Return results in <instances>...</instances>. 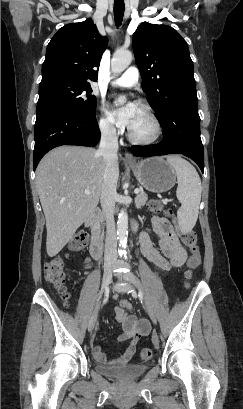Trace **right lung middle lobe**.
<instances>
[{
    "mask_svg": "<svg viewBox=\"0 0 243 409\" xmlns=\"http://www.w3.org/2000/svg\"><path fill=\"white\" fill-rule=\"evenodd\" d=\"M88 84L63 77L42 79L39 85L37 114L64 110L83 115L95 113L96 98Z\"/></svg>",
    "mask_w": 243,
    "mask_h": 409,
    "instance_id": "dd1d6c3e",
    "label": "right lung middle lobe"
}]
</instances>
